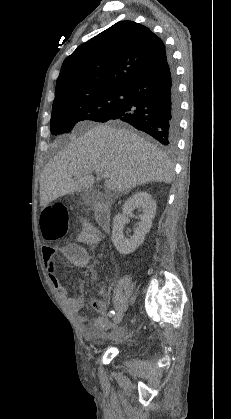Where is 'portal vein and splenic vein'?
<instances>
[{"instance_id": "18ae733b", "label": "portal vein and splenic vein", "mask_w": 231, "mask_h": 419, "mask_svg": "<svg viewBox=\"0 0 231 419\" xmlns=\"http://www.w3.org/2000/svg\"><path fill=\"white\" fill-rule=\"evenodd\" d=\"M97 175H98L100 178H107V177H108V174H107V173L97 172ZM74 176H75V177H80V173H79V172H76V173H74Z\"/></svg>"}]
</instances>
